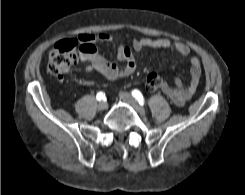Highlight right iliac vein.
<instances>
[{
  "instance_id": "obj_1",
  "label": "right iliac vein",
  "mask_w": 245,
  "mask_h": 195,
  "mask_svg": "<svg viewBox=\"0 0 245 195\" xmlns=\"http://www.w3.org/2000/svg\"><path fill=\"white\" fill-rule=\"evenodd\" d=\"M108 108V104H107V102H105V101H102V102H100L99 104H98V109L99 110H106Z\"/></svg>"
}]
</instances>
